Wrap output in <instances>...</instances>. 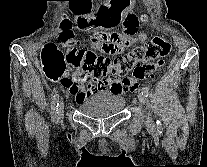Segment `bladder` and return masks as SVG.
<instances>
[{
    "mask_svg": "<svg viewBox=\"0 0 207 167\" xmlns=\"http://www.w3.org/2000/svg\"><path fill=\"white\" fill-rule=\"evenodd\" d=\"M125 106V98L117 95H104L88 99L79 105V111L89 117L104 118L119 114Z\"/></svg>",
    "mask_w": 207,
    "mask_h": 167,
    "instance_id": "bladder-1",
    "label": "bladder"
}]
</instances>
